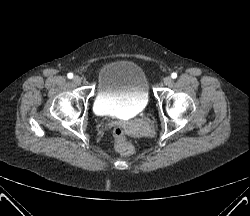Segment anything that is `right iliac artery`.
Returning <instances> with one entry per match:
<instances>
[{
	"instance_id": "obj_1",
	"label": "right iliac artery",
	"mask_w": 250,
	"mask_h": 216,
	"mask_svg": "<svg viewBox=\"0 0 250 216\" xmlns=\"http://www.w3.org/2000/svg\"><path fill=\"white\" fill-rule=\"evenodd\" d=\"M67 77H68L69 79H72V78H73V74H72V73H68Z\"/></svg>"
}]
</instances>
